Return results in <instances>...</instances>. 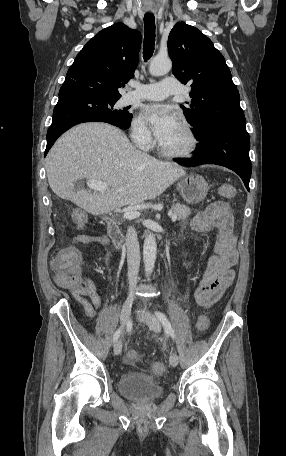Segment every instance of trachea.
<instances>
[{"mask_svg":"<svg viewBox=\"0 0 286 456\" xmlns=\"http://www.w3.org/2000/svg\"><path fill=\"white\" fill-rule=\"evenodd\" d=\"M144 26L143 58L147 61L152 56L155 46V17L152 13L144 15Z\"/></svg>","mask_w":286,"mask_h":456,"instance_id":"1","label":"trachea"}]
</instances>
